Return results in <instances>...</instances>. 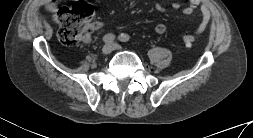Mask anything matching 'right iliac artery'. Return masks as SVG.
I'll return each mask as SVG.
<instances>
[{
    "label": "right iliac artery",
    "mask_w": 253,
    "mask_h": 138,
    "mask_svg": "<svg viewBox=\"0 0 253 138\" xmlns=\"http://www.w3.org/2000/svg\"><path fill=\"white\" fill-rule=\"evenodd\" d=\"M114 40H115V35H113V34H106L103 37V42L104 43H112Z\"/></svg>",
    "instance_id": "82829eb1"
}]
</instances>
